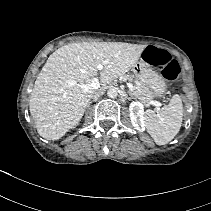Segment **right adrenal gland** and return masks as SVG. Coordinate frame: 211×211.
I'll return each instance as SVG.
<instances>
[{"label":"right adrenal gland","instance_id":"2a0ac1e0","mask_svg":"<svg viewBox=\"0 0 211 211\" xmlns=\"http://www.w3.org/2000/svg\"><path fill=\"white\" fill-rule=\"evenodd\" d=\"M91 103H92V101H90L87 106L89 107L91 105Z\"/></svg>","mask_w":211,"mask_h":211}]
</instances>
